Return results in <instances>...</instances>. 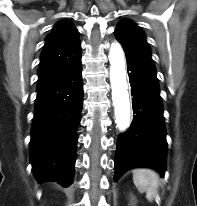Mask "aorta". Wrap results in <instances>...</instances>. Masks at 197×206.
Listing matches in <instances>:
<instances>
[{"mask_svg":"<svg viewBox=\"0 0 197 206\" xmlns=\"http://www.w3.org/2000/svg\"><path fill=\"white\" fill-rule=\"evenodd\" d=\"M110 82L112 87V100L115 111L116 127L124 131L130 124V102L124 53L118 43H113L109 51Z\"/></svg>","mask_w":197,"mask_h":206,"instance_id":"aorta-1","label":"aorta"}]
</instances>
